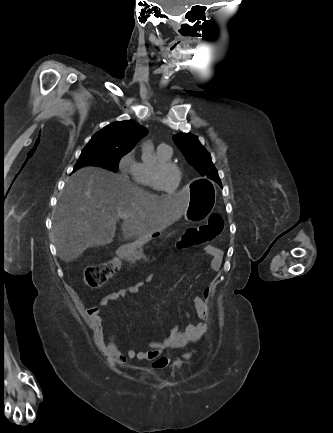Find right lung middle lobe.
Masks as SVG:
<instances>
[{"label": "right lung middle lobe", "mask_w": 333, "mask_h": 433, "mask_svg": "<svg viewBox=\"0 0 333 433\" xmlns=\"http://www.w3.org/2000/svg\"><path fill=\"white\" fill-rule=\"evenodd\" d=\"M127 153L126 151L115 148L86 145L74 167V171L83 166L95 165L116 172L119 167L120 159Z\"/></svg>", "instance_id": "obj_1"}]
</instances>
